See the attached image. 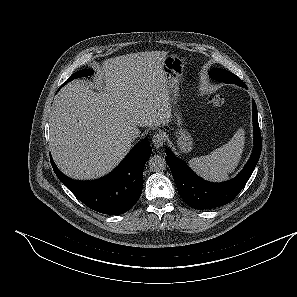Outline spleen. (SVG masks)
I'll return each instance as SVG.
<instances>
[{"mask_svg": "<svg viewBox=\"0 0 297 297\" xmlns=\"http://www.w3.org/2000/svg\"><path fill=\"white\" fill-rule=\"evenodd\" d=\"M245 131L239 128L232 139L206 156L192 158L189 166L201 177L211 181H223L238 166L245 142Z\"/></svg>", "mask_w": 297, "mask_h": 297, "instance_id": "3e777b00", "label": "spleen"}]
</instances>
